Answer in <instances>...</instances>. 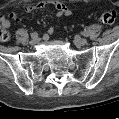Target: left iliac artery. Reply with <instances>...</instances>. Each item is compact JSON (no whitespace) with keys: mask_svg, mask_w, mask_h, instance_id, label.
<instances>
[{"mask_svg":"<svg viewBox=\"0 0 119 119\" xmlns=\"http://www.w3.org/2000/svg\"><path fill=\"white\" fill-rule=\"evenodd\" d=\"M82 34H83L84 36L88 37L90 33H89L88 30H84Z\"/></svg>","mask_w":119,"mask_h":119,"instance_id":"obj_1","label":"left iliac artery"}]
</instances>
